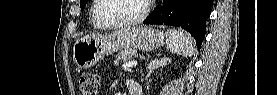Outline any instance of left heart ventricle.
I'll return each mask as SVG.
<instances>
[{"label":"left heart ventricle","mask_w":277,"mask_h":95,"mask_svg":"<svg viewBox=\"0 0 277 95\" xmlns=\"http://www.w3.org/2000/svg\"><path fill=\"white\" fill-rule=\"evenodd\" d=\"M142 10V0H104L97 12L101 18L110 21L134 18Z\"/></svg>","instance_id":"1"}]
</instances>
